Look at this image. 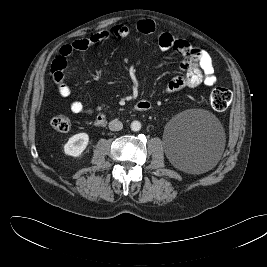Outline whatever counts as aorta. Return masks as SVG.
Segmentation results:
<instances>
[{
  "label": "aorta",
  "mask_w": 267,
  "mask_h": 267,
  "mask_svg": "<svg viewBox=\"0 0 267 267\" xmlns=\"http://www.w3.org/2000/svg\"><path fill=\"white\" fill-rule=\"evenodd\" d=\"M132 131H139L141 129V123L139 121H133L130 125Z\"/></svg>",
  "instance_id": "762f6f07"
}]
</instances>
